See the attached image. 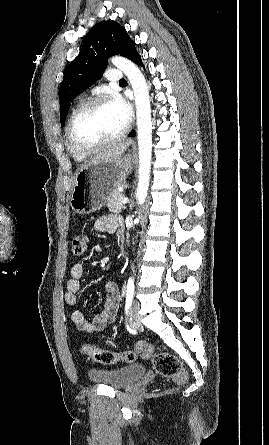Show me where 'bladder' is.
I'll return each instance as SVG.
<instances>
[{
    "label": "bladder",
    "instance_id": "obj_1",
    "mask_svg": "<svg viewBox=\"0 0 269 445\" xmlns=\"http://www.w3.org/2000/svg\"><path fill=\"white\" fill-rule=\"evenodd\" d=\"M146 373L142 364H131L116 369H94L88 372L92 382L113 388H125L139 380Z\"/></svg>",
    "mask_w": 269,
    "mask_h": 445
}]
</instances>
